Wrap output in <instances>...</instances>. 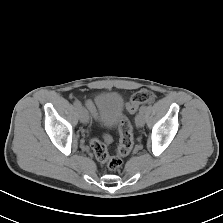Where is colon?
Listing matches in <instances>:
<instances>
[{
  "label": "colon",
  "mask_w": 223,
  "mask_h": 223,
  "mask_svg": "<svg viewBox=\"0 0 223 223\" xmlns=\"http://www.w3.org/2000/svg\"><path fill=\"white\" fill-rule=\"evenodd\" d=\"M153 100V92L146 89L139 90L131 96L126 109L134 113L141 104L151 103ZM119 141L115 155H109L107 150V144L111 142L110 136L104 135L103 141L93 139L91 142V147L97 160L105 163L111 171H115L121 167L122 158L129 154L134 143L133 128L125 116H122L119 120Z\"/></svg>",
  "instance_id": "obj_1"
}]
</instances>
